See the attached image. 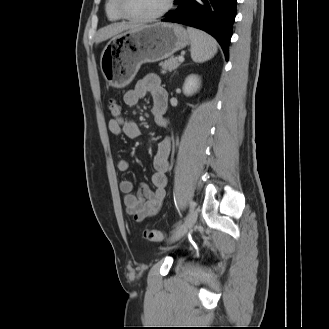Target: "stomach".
I'll return each mask as SVG.
<instances>
[{"label":"stomach","mask_w":329,"mask_h":329,"mask_svg":"<svg viewBox=\"0 0 329 329\" xmlns=\"http://www.w3.org/2000/svg\"><path fill=\"white\" fill-rule=\"evenodd\" d=\"M189 43L188 32L174 23L142 25L114 36L101 53L106 82L115 88L128 85L144 63L161 61Z\"/></svg>","instance_id":"0dacf381"}]
</instances>
